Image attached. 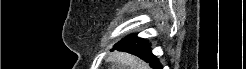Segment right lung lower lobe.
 <instances>
[{
	"mask_svg": "<svg viewBox=\"0 0 246 69\" xmlns=\"http://www.w3.org/2000/svg\"><path fill=\"white\" fill-rule=\"evenodd\" d=\"M113 50L132 53L148 62L154 69H162V66L156 56L151 53L149 43L144 39L137 38L136 34L129 35L116 43Z\"/></svg>",
	"mask_w": 246,
	"mask_h": 69,
	"instance_id": "obj_1",
	"label": "right lung lower lobe"
}]
</instances>
